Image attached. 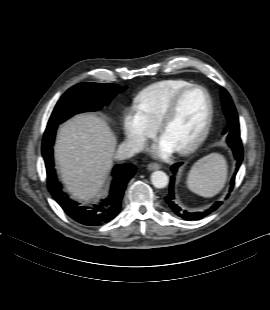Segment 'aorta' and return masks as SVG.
Listing matches in <instances>:
<instances>
[{"mask_svg": "<svg viewBox=\"0 0 270 310\" xmlns=\"http://www.w3.org/2000/svg\"><path fill=\"white\" fill-rule=\"evenodd\" d=\"M151 182L156 188H165L168 185L169 178L163 171H154L151 174Z\"/></svg>", "mask_w": 270, "mask_h": 310, "instance_id": "obj_1", "label": "aorta"}]
</instances>
